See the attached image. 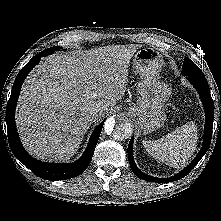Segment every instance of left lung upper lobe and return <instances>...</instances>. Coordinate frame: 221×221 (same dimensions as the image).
I'll return each instance as SVG.
<instances>
[{
	"label": "left lung upper lobe",
	"mask_w": 221,
	"mask_h": 221,
	"mask_svg": "<svg viewBox=\"0 0 221 221\" xmlns=\"http://www.w3.org/2000/svg\"><path fill=\"white\" fill-rule=\"evenodd\" d=\"M181 73L183 75H204L203 72L187 57L184 58Z\"/></svg>",
	"instance_id": "5c2ea615"
}]
</instances>
